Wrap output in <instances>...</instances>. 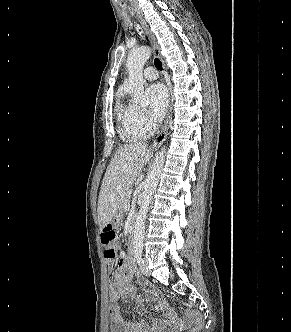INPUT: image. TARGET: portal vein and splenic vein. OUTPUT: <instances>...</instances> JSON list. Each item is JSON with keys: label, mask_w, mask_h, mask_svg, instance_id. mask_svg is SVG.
Returning <instances> with one entry per match:
<instances>
[{"label": "portal vein and splenic vein", "mask_w": 291, "mask_h": 332, "mask_svg": "<svg viewBox=\"0 0 291 332\" xmlns=\"http://www.w3.org/2000/svg\"><path fill=\"white\" fill-rule=\"evenodd\" d=\"M126 209H129L130 208V203H127L126 206H125Z\"/></svg>", "instance_id": "obj_1"}]
</instances>
